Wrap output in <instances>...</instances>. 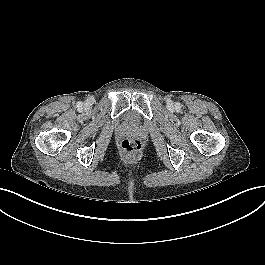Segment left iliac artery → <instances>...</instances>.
Returning a JSON list of instances; mask_svg holds the SVG:
<instances>
[{
  "label": "left iliac artery",
  "mask_w": 265,
  "mask_h": 265,
  "mask_svg": "<svg viewBox=\"0 0 265 265\" xmlns=\"http://www.w3.org/2000/svg\"><path fill=\"white\" fill-rule=\"evenodd\" d=\"M180 107H181L180 104L177 103V104H176V108H177V109H180Z\"/></svg>",
  "instance_id": "obj_1"
}]
</instances>
